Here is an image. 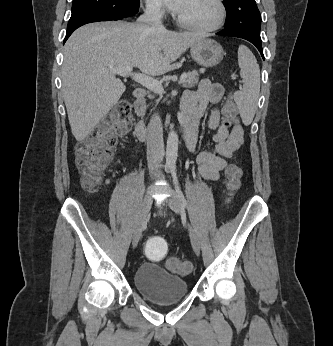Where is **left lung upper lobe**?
<instances>
[{
	"label": "left lung upper lobe",
	"instance_id": "1",
	"mask_svg": "<svg viewBox=\"0 0 333 346\" xmlns=\"http://www.w3.org/2000/svg\"><path fill=\"white\" fill-rule=\"evenodd\" d=\"M227 11L226 29L242 31L260 38L261 15L255 0H224Z\"/></svg>",
	"mask_w": 333,
	"mask_h": 346
}]
</instances>
